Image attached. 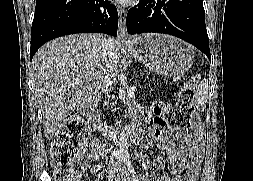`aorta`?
<instances>
[{
  "label": "aorta",
  "mask_w": 253,
  "mask_h": 181,
  "mask_svg": "<svg viewBox=\"0 0 253 181\" xmlns=\"http://www.w3.org/2000/svg\"><path fill=\"white\" fill-rule=\"evenodd\" d=\"M119 149H120V157H128L129 148L127 146L126 136H125V125H120V136H119Z\"/></svg>",
  "instance_id": "1"
}]
</instances>
